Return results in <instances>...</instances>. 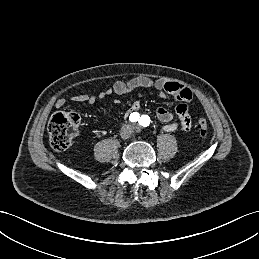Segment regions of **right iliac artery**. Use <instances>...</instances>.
<instances>
[{"label": "right iliac artery", "mask_w": 259, "mask_h": 259, "mask_svg": "<svg viewBox=\"0 0 259 259\" xmlns=\"http://www.w3.org/2000/svg\"><path fill=\"white\" fill-rule=\"evenodd\" d=\"M129 120H130L131 122H136V121H138V120H139V113H137V112L131 113V114H130V117H129Z\"/></svg>", "instance_id": "82829eb1"}]
</instances>
